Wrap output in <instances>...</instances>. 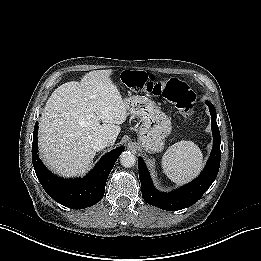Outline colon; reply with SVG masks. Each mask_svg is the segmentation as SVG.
<instances>
[{
  "label": "colon",
  "mask_w": 261,
  "mask_h": 261,
  "mask_svg": "<svg viewBox=\"0 0 261 261\" xmlns=\"http://www.w3.org/2000/svg\"><path fill=\"white\" fill-rule=\"evenodd\" d=\"M127 80L128 84L135 89L164 97L185 115L194 114L195 94L185 82L178 78H171L163 82L156 79L153 74L133 71L128 73Z\"/></svg>",
  "instance_id": "5ec220e1"
}]
</instances>
